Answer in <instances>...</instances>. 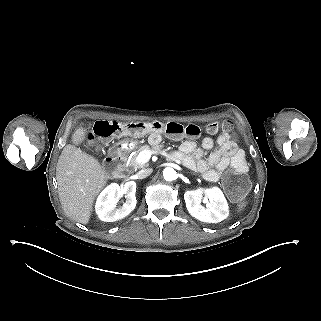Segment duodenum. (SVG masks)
Returning a JSON list of instances; mask_svg holds the SVG:
<instances>
[{
  "mask_svg": "<svg viewBox=\"0 0 321 321\" xmlns=\"http://www.w3.org/2000/svg\"><path fill=\"white\" fill-rule=\"evenodd\" d=\"M125 153L122 148L113 147L105 160V170L115 174H121L124 171Z\"/></svg>",
  "mask_w": 321,
  "mask_h": 321,
  "instance_id": "410a0bca",
  "label": "duodenum"
}]
</instances>
